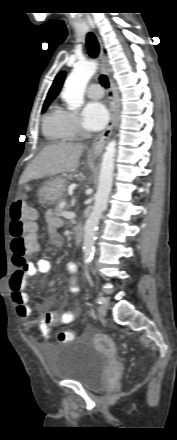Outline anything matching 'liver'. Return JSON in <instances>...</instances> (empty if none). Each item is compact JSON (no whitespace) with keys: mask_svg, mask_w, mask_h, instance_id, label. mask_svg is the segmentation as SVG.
I'll use <instances>...</instances> for the list:
<instances>
[{"mask_svg":"<svg viewBox=\"0 0 177 440\" xmlns=\"http://www.w3.org/2000/svg\"><path fill=\"white\" fill-rule=\"evenodd\" d=\"M84 145L58 143L48 145L28 165L20 178V184L59 173H72L78 165Z\"/></svg>","mask_w":177,"mask_h":440,"instance_id":"obj_1","label":"liver"}]
</instances>
